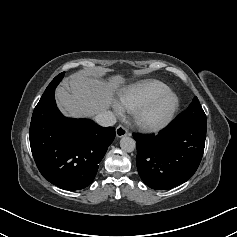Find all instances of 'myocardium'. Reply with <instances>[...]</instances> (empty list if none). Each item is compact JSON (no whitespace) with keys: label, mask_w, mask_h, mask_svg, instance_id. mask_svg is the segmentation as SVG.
Wrapping results in <instances>:
<instances>
[{"label":"myocardium","mask_w":237,"mask_h":237,"mask_svg":"<svg viewBox=\"0 0 237 237\" xmlns=\"http://www.w3.org/2000/svg\"><path fill=\"white\" fill-rule=\"evenodd\" d=\"M164 102L167 108L162 115L151 118L150 115ZM180 106L178 95L168 90L145 101L134 110V122L142 130L158 131L165 128L175 117Z\"/></svg>","instance_id":"myocardium-1"}]
</instances>
